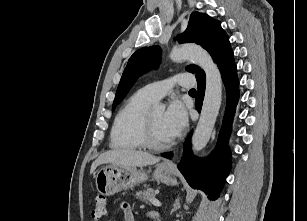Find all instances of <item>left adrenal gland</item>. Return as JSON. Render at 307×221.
<instances>
[{
    "mask_svg": "<svg viewBox=\"0 0 307 221\" xmlns=\"http://www.w3.org/2000/svg\"><path fill=\"white\" fill-rule=\"evenodd\" d=\"M181 207V205H180V199L179 198H177L176 200H175V203L173 204V208L171 209V211H170V214H172L173 212H175L177 209H179Z\"/></svg>",
    "mask_w": 307,
    "mask_h": 221,
    "instance_id": "left-adrenal-gland-1",
    "label": "left adrenal gland"
}]
</instances>
